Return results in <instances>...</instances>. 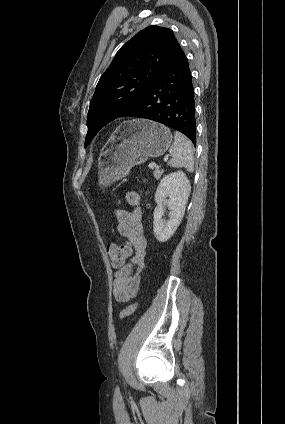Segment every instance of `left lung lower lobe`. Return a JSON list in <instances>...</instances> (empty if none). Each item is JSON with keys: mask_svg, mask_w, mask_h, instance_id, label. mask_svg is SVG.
I'll return each instance as SVG.
<instances>
[{"mask_svg": "<svg viewBox=\"0 0 285 424\" xmlns=\"http://www.w3.org/2000/svg\"><path fill=\"white\" fill-rule=\"evenodd\" d=\"M118 117L145 118L165 124L186 135L195 145L194 87L188 60L179 44L156 81Z\"/></svg>", "mask_w": 285, "mask_h": 424, "instance_id": "left-lung-lower-lobe-1", "label": "left lung lower lobe"}]
</instances>
